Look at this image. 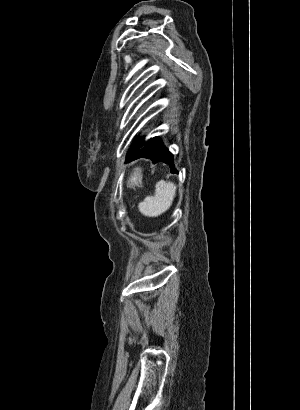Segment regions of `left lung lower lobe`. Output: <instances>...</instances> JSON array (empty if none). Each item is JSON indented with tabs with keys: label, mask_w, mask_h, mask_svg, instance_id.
Wrapping results in <instances>:
<instances>
[{
	"label": "left lung lower lobe",
	"mask_w": 300,
	"mask_h": 410,
	"mask_svg": "<svg viewBox=\"0 0 300 410\" xmlns=\"http://www.w3.org/2000/svg\"><path fill=\"white\" fill-rule=\"evenodd\" d=\"M141 157L149 158L153 161V163L160 161L167 163L170 166L171 171L175 172L173 155L162 144L159 137L150 139L144 147L127 157V161H132Z\"/></svg>",
	"instance_id": "left-lung-lower-lobe-1"
}]
</instances>
